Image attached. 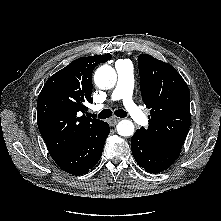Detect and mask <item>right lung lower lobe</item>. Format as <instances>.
Instances as JSON below:
<instances>
[{
    "instance_id": "1",
    "label": "right lung lower lobe",
    "mask_w": 221,
    "mask_h": 221,
    "mask_svg": "<svg viewBox=\"0 0 221 221\" xmlns=\"http://www.w3.org/2000/svg\"><path fill=\"white\" fill-rule=\"evenodd\" d=\"M109 132L108 123L102 122L85 134L79 142L54 157V161L67 173H87L99 161Z\"/></svg>"
}]
</instances>
